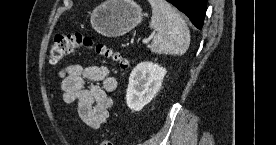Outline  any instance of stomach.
I'll list each match as a JSON object with an SVG mask.
<instances>
[{
  "label": "stomach",
  "instance_id": "obj_1",
  "mask_svg": "<svg viewBox=\"0 0 276 145\" xmlns=\"http://www.w3.org/2000/svg\"><path fill=\"white\" fill-rule=\"evenodd\" d=\"M143 15L141 7L132 0H107L93 10L90 22L101 35L119 37L135 28Z\"/></svg>",
  "mask_w": 276,
  "mask_h": 145
}]
</instances>
